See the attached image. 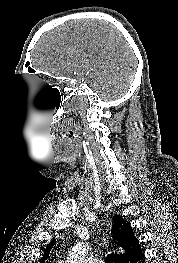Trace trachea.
<instances>
[{
    "label": "trachea",
    "instance_id": "3493384b",
    "mask_svg": "<svg viewBox=\"0 0 178 263\" xmlns=\"http://www.w3.org/2000/svg\"><path fill=\"white\" fill-rule=\"evenodd\" d=\"M113 260H114V253L112 252L106 256L105 263H113Z\"/></svg>",
    "mask_w": 178,
    "mask_h": 263
}]
</instances>
